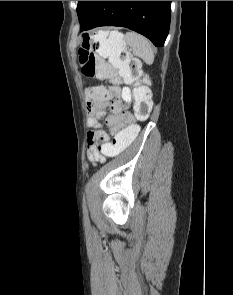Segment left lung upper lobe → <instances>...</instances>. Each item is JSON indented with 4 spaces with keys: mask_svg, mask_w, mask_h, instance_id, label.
<instances>
[{
    "mask_svg": "<svg viewBox=\"0 0 233 295\" xmlns=\"http://www.w3.org/2000/svg\"><path fill=\"white\" fill-rule=\"evenodd\" d=\"M98 1H78L77 14L81 26L89 19Z\"/></svg>",
    "mask_w": 233,
    "mask_h": 295,
    "instance_id": "1",
    "label": "left lung upper lobe"
}]
</instances>
